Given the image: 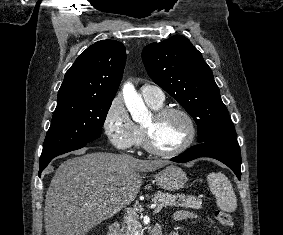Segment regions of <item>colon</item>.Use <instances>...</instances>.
Listing matches in <instances>:
<instances>
[{"instance_id":"colon-1","label":"colon","mask_w":283,"mask_h":235,"mask_svg":"<svg viewBox=\"0 0 283 235\" xmlns=\"http://www.w3.org/2000/svg\"><path fill=\"white\" fill-rule=\"evenodd\" d=\"M216 218L222 226H230L232 224V216L228 212L218 211Z\"/></svg>"}]
</instances>
